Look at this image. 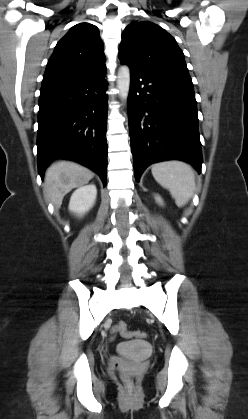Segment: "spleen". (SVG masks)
Listing matches in <instances>:
<instances>
[{
  "mask_svg": "<svg viewBox=\"0 0 248 419\" xmlns=\"http://www.w3.org/2000/svg\"><path fill=\"white\" fill-rule=\"evenodd\" d=\"M152 175L164 188L170 191L178 207L187 204L194 194L195 176L188 164L181 161H167L154 164Z\"/></svg>",
  "mask_w": 248,
  "mask_h": 419,
  "instance_id": "spleen-1",
  "label": "spleen"
}]
</instances>
